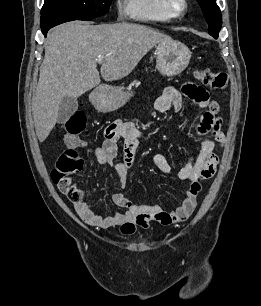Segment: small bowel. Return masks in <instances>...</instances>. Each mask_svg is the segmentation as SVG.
Wrapping results in <instances>:
<instances>
[{
    "mask_svg": "<svg viewBox=\"0 0 261 306\" xmlns=\"http://www.w3.org/2000/svg\"><path fill=\"white\" fill-rule=\"evenodd\" d=\"M183 96L195 101L204 112L196 129L201 139L200 150L197 155L190 156L177 173L180 180L190 183L182 203L176 209L166 211L159 205H137L118 193L114 195L113 202L124 211L110 215H103L100 210L92 208L86 202L74 203L77 214L84 222L101 229L119 227L124 235H131L138 227L148 228L151 221L171 225L185 221L192 214L201 189L199 182L215 173L218 164V158L214 154L215 144H223L225 135L221 129V119L218 117L219 106L210 100L208 92L201 86L187 83L181 90L167 88L156 99L155 108L159 112H167L172 108L179 111L183 105ZM141 138L142 132L134 124L115 121L105 128V140L101 146L93 150V154L101 165L113 166L123 184L133 166ZM119 140H123V159L115 163ZM84 145L83 140L77 143V146ZM153 160L159 170L171 174V166L163 154H155Z\"/></svg>",
    "mask_w": 261,
    "mask_h": 306,
    "instance_id": "1",
    "label": "small bowel"
}]
</instances>
